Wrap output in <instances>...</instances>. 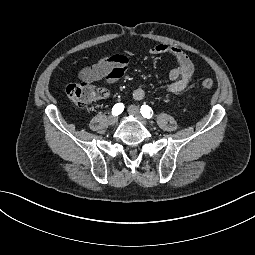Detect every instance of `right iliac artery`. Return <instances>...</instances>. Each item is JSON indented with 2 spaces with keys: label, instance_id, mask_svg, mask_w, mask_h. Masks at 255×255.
Segmentation results:
<instances>
[{
  "label": "right iliac artery",
  "instance_id": "1",
  "mask_svg": "<svg viewBox=\"0 0 255 255\" xmlns=\"http://www.w3.org/2000/svg\"><path fill=\"white\" fill-rule=\"evenodd\" d=\"M124 110V105L123 103H117L113 106L112 108V115L117 116L121 114Z\"/></svg>",
  "mask_w": 255,
  "mask_h": 255
}]
</instances>
